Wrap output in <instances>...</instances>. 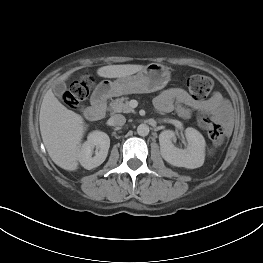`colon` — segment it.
Listing matches in <instances>:
<instances>
[{"label":"colon","instance_id":"colon-1","mask_svg":"<svg viewBox=\"0 0 263 263\" xmlns=\"http://www.w3.org/2000/svg\"><path fill=\"white\" fill-rule=\"evenodd\" d=\"M91 86L92 80L88 76L74 82L65 93L64 102L71 108L78 107L89 96ZM187 88L195 98L204 99L210 94L213 82L208 76L192 75L187 79ZM198 123L214 144L221 145L224 142V131L213 117L206 114L200 115Z\"/></svg>","mask_w":263,"mask_h":263}]
</instances>
